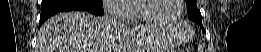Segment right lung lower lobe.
<instances>
[{
	"label": "right lung lower lobe",
	"mask_w": 261,
	"mask_h": 52,
	"mask_svg": "<svg viewBox=\"0 0 261 52\" xmlns=\"http://www.w3.org/2000/svg\"><path fill=\"white\" fill-rule=\"evenodd\" d=\"M42 12L40 16L39 26L50 16L58 12H66L72 10L89 11L97 16L103 15L104 11L101 4L82 0H42Z\"/></svg>",
	"instance_id": "obj_1"
}]
</instances>
